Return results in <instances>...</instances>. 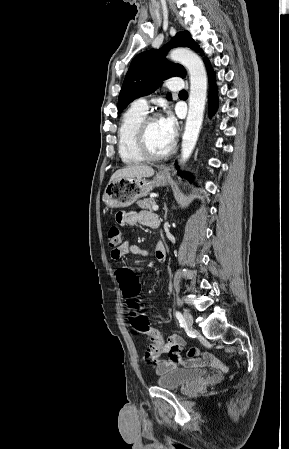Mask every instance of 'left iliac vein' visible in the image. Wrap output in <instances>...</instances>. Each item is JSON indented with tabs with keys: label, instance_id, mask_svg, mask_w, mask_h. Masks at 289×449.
<instances>
[{
	"label": "left iliac vein",
	"instance_id": "4c4485c4",
	"mask_svg": "<svg viewBox=\"0 0 289 449\" xmlns=\"http://www.w3.org/2000/svg\"><path fill=\"white\" fill-rule=\"evenodd\" d=\"M184 319L188 324L189 328H192L193 325V316L189 312H184Z\"/></svg>",
	"mask_w": 289,
	"mask_h": 449
}]
</instances>
